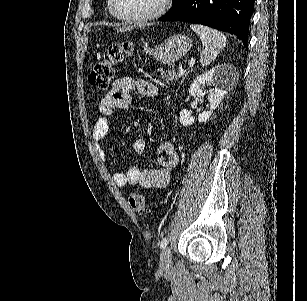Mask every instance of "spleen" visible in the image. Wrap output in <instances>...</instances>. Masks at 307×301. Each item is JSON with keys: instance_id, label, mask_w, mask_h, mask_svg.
Segmentation results:
<instances>
[{"instance_id": "spleen-1", "label": "spleen", "mask_w": 307, "mask_h": 301, "mask_svg": "<svg viewBox=\"0 0 307 301\" xmlns=\"http://www.w3.org/2000/svg\"><path fill=\"white\" fill-rule=\"evenodd\" d=\"M190 28L197 32L202 40L204 48L200 54V62L202 66H207L226 46L227 38L223 32L202 24H190Z\"/></svg>"}]
</instances>
